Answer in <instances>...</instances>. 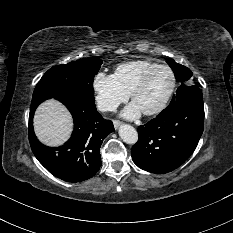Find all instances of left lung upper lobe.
<instances>
[{
  "instance_id": "left-lung-upper-lobe-1",
  "label": "left lung upper lobe",
  "mask_w": 233,
  "mask_h": 233,
  "mask_svg": "<svg viewBox=\"0 0 233 233\" xmlns=\"http://www.w3.org/2000/svg\"><path fill=\"white\" fill-rule=\"evenodd\" d=\"M167 63L174 71L176 80L181 82V86L177 89L176 95L173 96V99L170 103V106H171L174 102L181 99L183 96H185L188 93L195 91L199 88L196 85L190 84L189 79L192 76V72L189 68H187L181 64L176 63L173 59H167ZM170 106H168L162 112H165Z\"/></svg>"
}]
</instances>
